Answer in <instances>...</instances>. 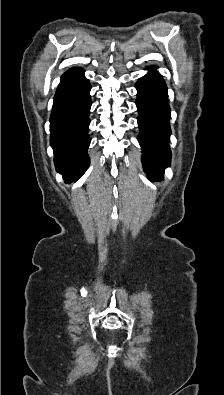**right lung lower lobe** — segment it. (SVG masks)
<instances>
[{
	"label": "right lung lower lobe",
	"instance_id": "1",
	"mask_svg": "<svg viewBox=\"0 0 224 395\" xmlns=\"http://www.w3.org/2000/svg\"><path fill=\"white\" fill-rule=\"evenodd\" d=\"M90 89L84 71L71 68L62 75L53 99L50 144L56 170L67 183L77 181L89 166Z\"/></svg>",
	"mask_w": 224,
	"mask_h": 395
}]
</instances>
